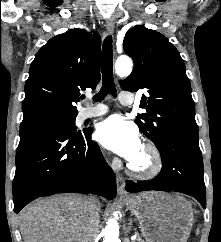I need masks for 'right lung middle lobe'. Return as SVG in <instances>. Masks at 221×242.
Listing matches in <instances>:
<instances>
[{
    "mask_svg": "<svg viewBox=\"0 0 221 242\" xmlns=\"http://www.w3.org/2000/svg\"><path fill=\"white\" fill-rule=\"evenodd\" d=\"M75 118H76V115H71V116L41 121V122H38L35 124L43 123V124H47V125L66 127L68 129L72 130L73 132H76Z\"/></svg>",
    "mask_w": 221,
    "mask_h": 242,
    "instance_id": "right-lung-middle-lobe-1",
    "label": "right lung middle lobe"
}]
</instances>
